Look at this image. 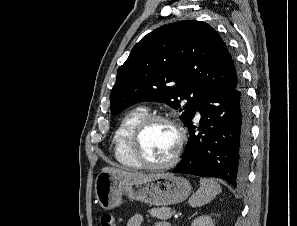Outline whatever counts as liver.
Segmentation results:
<instances>
[{"instance_id":"liver-1","label":"liver","mask_w":297,"mask_h":226,"mask_svg":"<svg viewBox=\"0 0 297 226\" xmlns=\"http://www.w3.org/2000/svg\"><path fill=\"white\" fill-rule=\"evenodd\" d=\"M102 172L112 173L115 177L119 179L126 180H146L157 176L158 174H143L138 172H129L121 169L113 168V167H104Z\"/></svg>"}]
</instances>
